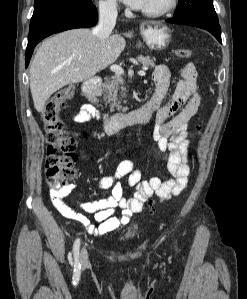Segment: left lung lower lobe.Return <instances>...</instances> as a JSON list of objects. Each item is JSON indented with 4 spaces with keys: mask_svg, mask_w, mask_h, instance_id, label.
Wrapping results in <instances>:
<instances>
[{
    "mask_svg": "<svg viewBox=\"0 0 247 299\" xmlns=\"http://www.w3.org/2000/svg\"><path fill=\"white\" fill-rule=\"evenodd\" d=\"M168 23H175L180 25L195 26L209 31L213 34L217 40L222 43L221 40V28L218 19L212 18L202 13H189L179 17H173L166 20Z\"/></svg>",
    "mask_w": 247,
    "mask_h": 299,
    "instance_id": "obj_1",
    "label": "left lung lower lobe"
}]
</instances>
